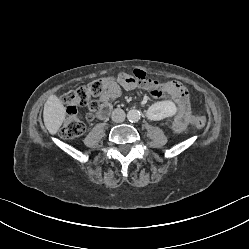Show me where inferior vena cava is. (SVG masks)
Here are the masks:
<instances>
[{"label":"inferior vena cava","instance_id":"inferior-vena-cava-1","mask_svg":"<svg viewBox=\"0 0 249 249\" xmlns=\"http://www.w3.org/2000/svg\"><path fill=\"white\" fill-rule=\"evenodd\" d=\"M125 112L122 109H115L112 112V120L116 123H121L125 120Z\"/></svg>","mask_w":249,"mask_h":249}]
</instances>
